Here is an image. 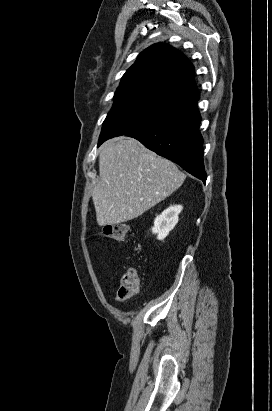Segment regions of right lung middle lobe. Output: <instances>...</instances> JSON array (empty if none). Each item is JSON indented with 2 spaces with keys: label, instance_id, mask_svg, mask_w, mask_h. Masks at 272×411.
<instances>
[{
  "label": "right lung middle lobe",
  "instance_id": "obj_1",
  "mask_svg": "<svg viewBox=\"0 0 272 411\" xmlns=\"http://www.w3.org/2000/svg\"><path fill=\"white\" fill-rule=\"evenodd\" d=\"M179 108L178 104L165 102L150 93L116 92L114 105L103 123L100 137L128 134Z\"/></svg>",
  "mask_w": 272,
  "mask_h": 411
}]
</instances>
